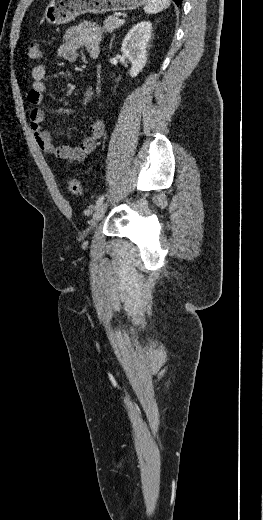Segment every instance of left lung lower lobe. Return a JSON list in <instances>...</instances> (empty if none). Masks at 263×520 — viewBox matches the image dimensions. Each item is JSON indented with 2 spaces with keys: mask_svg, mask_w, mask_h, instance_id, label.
Listing matches in <instances>:
<instances>
[{
  "mask_svg": "<svg viewBox=\"0 0 263 520\" xmlns=\"http://www.w3.org/2000/svg\"><path fill=\"white\" fill-rule=\"evenodd\" d=\"M177 5L181 4L182 0H173Z\"/></svg>",
  "mask_w": 263,
  "mask_h": 520,
  "instance_id": "0a47b994",
  "label": "left lung lower lobe"
}]
</instances>
